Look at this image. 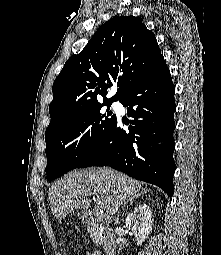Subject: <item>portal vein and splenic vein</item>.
<instances>
[{"label": "portal vein and splenic vein", "mask_w": 221, "mask_h": 255, "mask_svg": "<svg viewBox=\"0 0 221 255\" xmlns=\"http://www.w3.org/2000/svg\"><path fill=\"white\" fill-rule=\"evenodd\" d=\"M98 207L103 208V204L100 200H97Z\"/></svg>", "instance_id": "1"}]
</instances>
